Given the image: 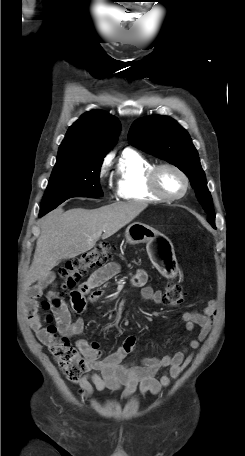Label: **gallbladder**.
I'll return each mask as SVG.
<instances>
[{
    "mask_svg": "<svg viewBox=\"0 0 245 456\" xmlns=\"http://www.w3.org/2000/svg\"><path fill=\"white\" fill-rule=\"evenodd\" d=\"M54 279H55V273L52 272V273H50V274L48 275L47 280L53 281ZM46 284H47V283L44 282V281L40 282V285H41V286H46Z\"/></svg>",
    "mask_w": 245,
    "mask_h": 456,
    "instance_id": "bac80fb5",
    "label": "gallbladder"
}]
</instances>
